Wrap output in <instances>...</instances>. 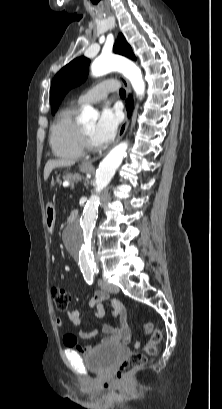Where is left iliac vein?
I'll return each mask as SVG.
<instances>
[{"label": "left iliac vein", "mask_w": 222, "mask_h": 409, "mask_svg": "<svg viewBox=\"0 0 222 409\" xmlns=\"http://www.w3.org/2000/svg\"><path fill=\"white\" fill-rule=\"evenodd\" d=\"M100 284L102 286V289L104 290V292L107 293H118L119 292V287L112 284V283H108L107 281L103 280L100 281Z\"/></svg>", "instance_id": "4c4485c4"}]
</instances>
